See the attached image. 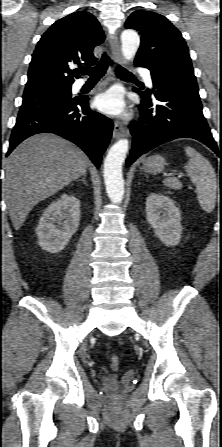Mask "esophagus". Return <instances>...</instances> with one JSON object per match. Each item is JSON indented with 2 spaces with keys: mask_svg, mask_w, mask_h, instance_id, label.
I'll return each instance as SVG.
<instances>
[{
  "mask_svg": "<svg viewBox=\"0 0 222 447\" xmlns=\"http://www.w3.org/2000/svg\"><path fill=\"white\" fill-rule=\"evenodd\" d=\"M109 43H110V48H111V52H112V57L113 59L120 65H123L124 60H123V56L120 50V43L119 40L116 36V34H111L109 36ZM126 132V128L124 127V125L120 122V121H115L114 122V128H113V138L114 139H119L120 137H122Z\"/></svg>",
  "mask_w": 222,
  "mask_h": 447,
  "instance_id": "34e87169",
  "label": "esophagus"
}]
</instances>
